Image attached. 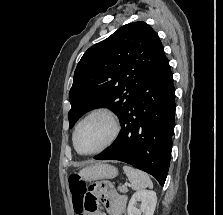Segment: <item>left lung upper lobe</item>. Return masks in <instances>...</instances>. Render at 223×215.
<instances>
[{"instance_id":"5c2ea615","label":"left lung upper lobe","mask_w":223,"mask_h":215,"mask_svg":"<svg viewBox=\"0 0 223 215\" xmlns=\"http://www.w3.org/2000/svg\"><path fill=\"white\" fill-rule=\"evenodd\" d=\"M165 59L157 33L142 21L126 24L90 47L69 92L70 127L97 107H108L121 121L139 88Z\"/></svg>"}]
</instances>
